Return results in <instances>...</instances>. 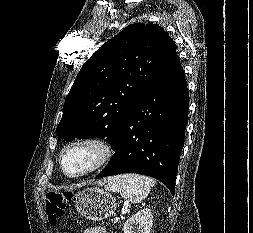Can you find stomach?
Masks as SVG:
<instances>
[{
	"mask_svg": "<svg viewBox=\"0 0 253 233\" xmlns=\"http://www.w3.org/2000/svg\"><path fill=\"white\" fill-rule=\"evenodd\" d=\"M75 206L81 216L96 221L111 216L117 208V203L115 198L105 190L91 187L76 194Z\"/></svg>",
	"mask_w": 253,
	"mask_h": 233,
	"instance_id": "obj_1",
	"label": "stomach"
}]
</instances>
